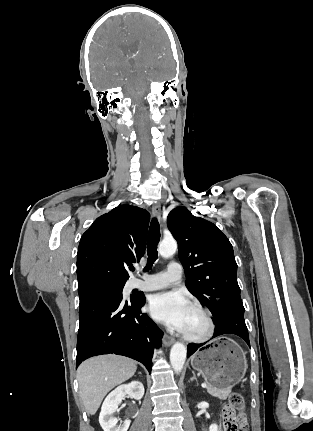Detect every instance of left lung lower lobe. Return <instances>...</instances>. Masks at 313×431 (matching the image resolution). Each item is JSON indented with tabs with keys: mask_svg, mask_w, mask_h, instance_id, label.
<instances>
[{
	"mask_svg": "<svg viewBox=\"0 0 313 431\" xmlns=\"http://www.w3.org/2000/svg\"><path fill=\"white\" fill-rule=\"evenodd\" d=\"M215 331L212 338L223 334H235L240 336L245 340V342L250 346L248 329L245 324L244 314H231L221 318L219 321L215 322ZM202 344H189L187 346V357H190Z\"/></svg>",
	"mask_w": 313,
	"mask_h": 431,
	"instance_id": "1",
	"label": "left lung lower lobe"
}]
</instances>
